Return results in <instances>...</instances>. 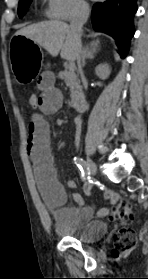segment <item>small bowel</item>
Here are the masks:
<instances>
[{
    "instance_id": "obj_1",
    "label": "small bowel",
    "mask_w": 148,
    "mask_h": 279,
    "mask_svg": "<svg viewBox=\"0 0 148 279\" xmlns=\"http://www.w3.org/2000/svg\"><path fill=\"white\" fill-rule=\"evenodd\" d=\"M41 94L38 97L36 108L40 114H35L29 124V137L27 144L28 155L33 163L38 188L45 203L55 212L58 219L70 225H78L89 220L92 209L83 206V199L79 194H73L75 207L62 208L66 201L63 185L57 180L56 170L50 149V128L43 115L57 112L63 104V97L55 85V76L51 71H44L38 79ZM67 186L75 188L73 180L67 181ZM111 205H115L119 198L113 191L104 195ZM108 208L96 212L97 216H105Z\"/></svg>"
}]
</instances>
